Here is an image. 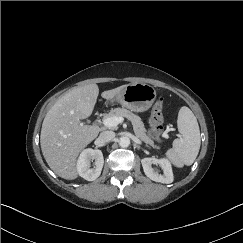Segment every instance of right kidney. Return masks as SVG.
Returning <instances> with one entry per match:
<instances>
[{
    "label": "right kidney",
    "instance_id": "ca27d5eb",
    "mask_svg": "<svg viewBox=\"0 0 243 243\" xmlns=\"http://www.w3.org/2000/svg\"><path fill=\"white\" fill-rule=\"evenodd\" d=\"M95 160L94 168H90V163ZM104 164V158L101 150L85 149L79 156L77 161L78 174L88 181H93L101 174Z\"/></svg>",
    "mask_w": 243,
    "mask_h": 243
}]
</instances>
